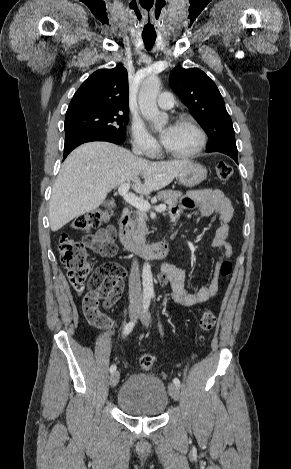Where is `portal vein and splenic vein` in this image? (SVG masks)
<instances>
[{
    "mask_svg": "<svg viewBox=\"0 0 291 469\" xmlns=\"http://www.w3.org/2000/svg\"><path fill=\"white\" fill-rule=\"evenodd\" d=\"M129 188H130V184L129 183H124L122 185L119 186L118 188V192L119 194L123 197V199L130 205L134 206L135 208H137L138 210L140 211H148L151 209V205L143 200V199H140L139 197H137L136 195L134 194H131L129 193ZM154 209L156 211H160V212H163L166 210V205L165 204H160L158 206H155Z\"/></svg>",
    "mask_w": 291,
    "mask_h": 469,
    "instance_id": "1",
    "label": "portal vein and splenic vein"
}]
</instances>
